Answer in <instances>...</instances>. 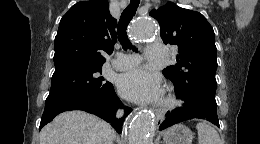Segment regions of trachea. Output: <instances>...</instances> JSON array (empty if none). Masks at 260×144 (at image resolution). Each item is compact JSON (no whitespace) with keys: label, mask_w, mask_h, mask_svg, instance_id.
<instances>
[{"label":"trachea","mask_w":260,"mask_h":144,"mask_svg":"<svg viewBox=\"0 0 260 144\" xmlns=\"http://www.w3.org/2000/svg\"><path fill=\"white\" fill-rule=\"evenodd\" d=\"M140 0H131L130 4L122 12L119 23L117 25V34L120 44L124 50L132 49L137 52L138 50L130 43L127 36V26L135 15L137 8L139 6Z\"/></svg>","instance_id":"obj_1"}]
</instances>
